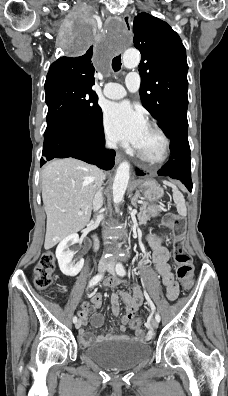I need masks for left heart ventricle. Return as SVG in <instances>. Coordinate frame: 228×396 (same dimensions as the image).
Instances as JSON below:
<instances>
[{
    "label": "left heart ventricle",
    "instance_id": "obj_1",
    "mask_svg": "<svg viewBox=\"0 0 228 396\" xmlns=\"http://www.w3.org/2000/svg\"><path fill=\"white\" fill-rule=\"evenodd\" d=\"M137 149L148 157L157 158L162 153L163 141L156 132L147 126Z\"/></svg>",
    "mask_w": 228,
    "mask_h": 396
}]
</instances>
